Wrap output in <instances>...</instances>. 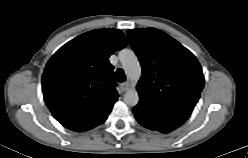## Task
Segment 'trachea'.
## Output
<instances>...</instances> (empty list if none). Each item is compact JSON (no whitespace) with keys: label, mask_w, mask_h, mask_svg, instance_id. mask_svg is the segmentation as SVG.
Segmentation results:
<instances>
[{"label":"trachea","mask_w":248,"mask_h":158,"mask_svg":"<svg viewBox=\"0 0 248 158\" xmlns=\"http://www.w3.org/2000/svg\"><path fill=\"white\" fill-rule=\"evenodd\" d=\"M116 79L118 82H124L126 80L124 71L121 68L116 70Z\"/></svg>","instance_id":"obj_1"}]
</instances>
